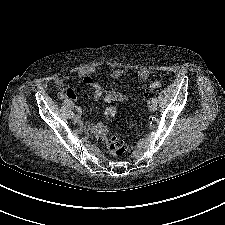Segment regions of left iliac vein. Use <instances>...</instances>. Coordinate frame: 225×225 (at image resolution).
Instances as JSON below:
<instances>
[{"mask_svg":"<svg viewBox=\"0 0 225 225\" xmlns=\"http://www.w3.org/2000/svg\"><path fill=\"white\" fill-rule=\"evenodd\" d=\"M157 108V104L156 102H151L150 105H149V109L151 112H154Z\"/></svg>","mask_w":225,"mask_h":225,"instance_id":"1","label":"left iliac vein"}]
</instances>
